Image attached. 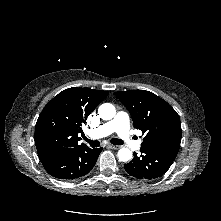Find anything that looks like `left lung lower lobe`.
<instances>
[{
  "label": "left lung lower lobe",
  "mask_w": 221,
  "mask_h": 221,
  "mask_svg": "<svg viewBox=\"0 0 221 221\" xmlns=\"http://www.w3.org/2000/svg\"><path fill=\"white\" fill-rule=\"evenodd\" d=\"M140 151V156L134 153L132 161L124 165L125 171L138 179L151 180L162 176L176 157L170 152L146 146H141Z\"/></svg>",
  "instance_id": "obj_1"
}]
</instances>
